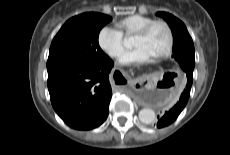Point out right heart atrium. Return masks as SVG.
<instances>
[{
    "label": "right heart atrium",
    "mask_w": 230,
    "mask_h": 155,
    "mask_svg": "<svg viewBox=\"0 0 230 155\" xmlns=\"http://www.w3.org/2000/svg\"><path fill=\"white\" fill-rule=\"evenodd\" d=\"M97 43L100 49L109 57H119L125 49L123 34L112 26H104L97 35Z\"/></svg>",
    "instance_id": "obj_1"
}]
</instances>
